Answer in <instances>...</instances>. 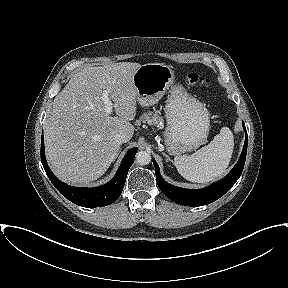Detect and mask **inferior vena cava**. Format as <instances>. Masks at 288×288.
Returning a JSON list of instances; mask_svg holds the SVG:
<instances>
[{
  "instance_id": "1",
  "label": "inferior vena cava",
  "mask_w": 288,
  "mask_h": 288,
  "mask_svg": "<svg viewBox=\"0 0 288 288\" xmlns=\"http://www.w3.org/2000/svg\"><path fill=\"white\" fill-rule=\"evenodd\" d=\"M114 139L119 144H122L123 142H125V137L121 134L115 135Z\"/></svg>"
}]
</instances>
